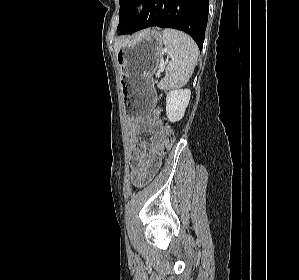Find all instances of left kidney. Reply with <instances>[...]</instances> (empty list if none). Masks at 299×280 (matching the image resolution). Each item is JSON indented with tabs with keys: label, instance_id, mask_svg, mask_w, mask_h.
I'll list each match as a JSON object with an SVG mask.
<instances>
[{
	"label": "left kidney",
	"instance_id": "1",
	"mask_svg": "<svg viewBox=\"0 0 299 280\" xmlns=\"http://www.w3.org/2000/svg\"><path fill=\"white\" fill-rule=\"evenodd\" d=\"M191 96L189 89L170 91L166 97V115L170 122L181 120L185 114Z\"/></svg>",
	"mask_w": 299,
	"mask_h": 280
}]
</instances>
